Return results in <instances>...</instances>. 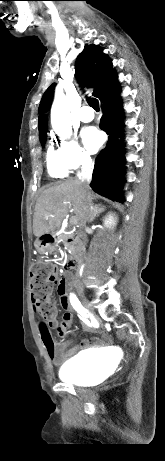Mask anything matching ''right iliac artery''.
I'll return each mask as SVG.
<instances>
[{
    "label": "right iliac artery",
    "instance_id": "82829eb1",
    "mask_svg": "<svg viewBox=\"0 0 165 461\" xmlns=\"http://www.w3.org/2000/svg\"><path fill=\"white\" fill-rule=\"evenodd\" d=\"M70 302L74 309L83 317H86V309L81 305L80 301L74 294L70 296Z\"/></svg>",
    "mask_w": 165,
    "mask_h": 461
}]
</instances>
